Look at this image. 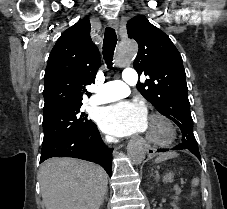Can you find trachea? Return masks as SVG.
Instances as JSON below:
<instances>
[{
  "instance_id": "3493384b",
  "label": "trachea",
  "mask_w": 227,
  "mask_h": 209,
  "mask_svg": "<svg viewBox=\"0 0 227 209\" xmlns=\"http://www.w3.org/2000/svg\"><path fill=\"white\" fill-rule=\"evenodd\" d=\"M117 44V35L114 28L107 27L103 40V58L108 69H112L113 55Z\"/></svg>"
}]
</instances>
